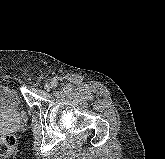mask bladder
I'll return each instance as SVG.
<instances>
[{
	"label": "bladder",
	"instance_id": "31cf9c89",
	"mask_svg": "<svg viewBox=\"0 0 165 159\" xmlns=\"http://www.w3.org/2000/svg\"><path fill=\"white\" fill-rule=\"evenodd\" d=\"M23 105L22 96L17 88L11 85H0V108L17 113Z\"/></svg>",
	"mask_w": 165,
	"mask_h": 159
}]
</instances>
